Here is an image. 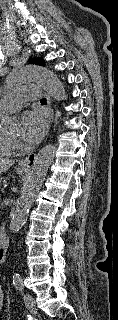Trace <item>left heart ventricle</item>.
I'll use <instances>...</instances> for the list:
<instances>
[{"instance_id": "left-heart-ventricle-1", "label": "left heart ventricle", "mask_w": 118, "mask_h": 320, "mask_svg": "<svg viewBox=\"0 0 118 320\" xmlns=\"http://www.w3.org/2000/svg\"><path fill=\"white\" fill-rule=\"evenodd\" d=\"M10 136H11V137H14V136H15V134L13 133V134H11Z\"/></svg>"}]
</instances>
